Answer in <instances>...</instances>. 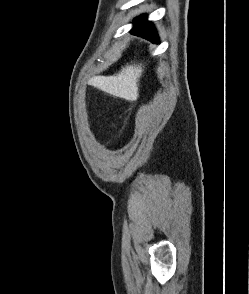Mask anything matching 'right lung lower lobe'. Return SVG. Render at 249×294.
<instances>
[{
	"instance_id": "right-lung-lower-lobe-1",
	"label": "right lung lower lobe",
	"mask_w": 249,
	"mask_h": 294,
	"mask_svg": "<svg viewBox=\"0 0 249 294\" xmlns=\"http://www.w3.org/2000/svg\"><path fill=\"white\" fill-rule=\"evenodd\" d=\"M134 28L132 29L133 34L140 35L151 40L154 43H159L156 31L153 25L146 20L145 16H142L135 21Z\"/></svg>"
}]
</instances>
